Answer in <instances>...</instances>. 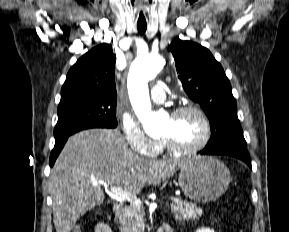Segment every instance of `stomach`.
<instances>
[{
	"mask_svg": "<svg viewBox=\"0 0 289 232\" xmlns=\"http://www.w3.org/2000/svg\"><path fill=\"white\" fill-rule=\"evenodd\" d=\"M178 181L187 197L206 203L225 193L231 176L224 163L214 157L195 156L182 164Z\"/></svg>",
	"mask_w": 289,
	"mask_h": 232,
	"instance_id": "stomach-1",
	"label": "stomach"
}]
</instances>
